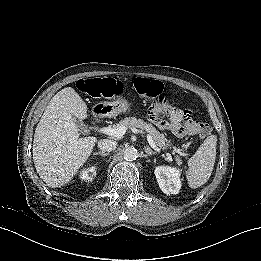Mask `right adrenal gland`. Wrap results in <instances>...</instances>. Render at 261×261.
Here are the masks:
<instances>
[{"instance_id":"2a0ac1e0","label":"right adrenal gland","mask_w":261,"mask_h":261,"mask_svg":"<svg viewBox=\"0 0 261 261\" xmlns=\"http://www.w3.org/2000/svg\"><path fill=\"white\" fill-rule=\"evenodd\" d=\"M93 155H101V156H106L107 154L103 151L95 152Z\"/></svg>"}]
</instances>
